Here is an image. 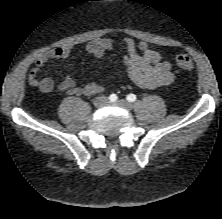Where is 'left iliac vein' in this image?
Instances as JSON below:
<instances>
[{"label":"left iliac vein","instance_id":"4c4485c4","mask_svg":"<svg viewBox=\"0 0 222 219\" xmlns=\"http://www.w3.org/2000/svg\"><path fill=\"white\" fill-rule=\"evenodd\" d=\"M115 104L125 108L126 110L132 109V104L126 100H123V99L118 100Z\"/></svg>","mask_w":222,"mask_h":219}]
</instances>
